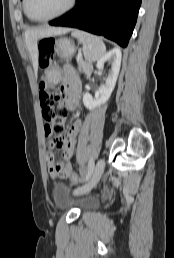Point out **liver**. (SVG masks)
I'll return each mask as SVG.
<instances>
[{"label": "liver", "instance_id": "liver-1", "mask_svg": "<svg viewBox=\"0 0 174 258\" xmlns=\"http://www.w3.org/2000/svg\"><path fill=\"white\" fill-rule=\"evenodd\" d=\"M68 31L69 30L67 28L45 27L31 29L25 32V43L30 53L36 73L38 69V40L43 37L64 34Z\"/></svg>", "mask_w": 174, "mask_h": 258}]
</instances>
